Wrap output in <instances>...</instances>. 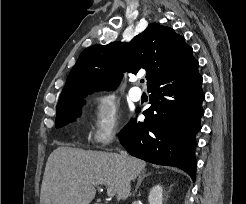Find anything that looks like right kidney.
<instances>
[{
    "instance_id": "ca27d5eb",
    "label": "right kidney",
    "mask_w": 246,
    "mask_h": 204,
    "mask_svg": "<svg viewBox=\"0 0 246 204\" xmlns=\"http://www.w3.org/2000/svg\"><path fill=\"white\" fill-rule=\"evenodd\" d=\"M148 201L149 204H162L163 189L160 185H156L150 190Z\"/></svg>"
}]
</instances>
